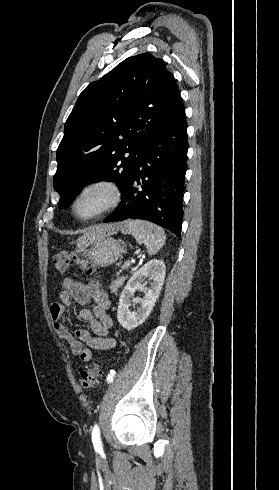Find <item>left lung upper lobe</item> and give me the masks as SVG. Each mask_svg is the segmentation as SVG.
Returning <instances> with one entry per match:
<instances>
[{"mask_svg": "<svg viewBox=\"0 0 279 490\" xmlns=\"http://www.w3.org/2000/svg\"><path fill=\"white\" fill-rule=\"evenodd\" d=\"M174 76L150 53L129 57L80 94L57 150L59 209L102 179L123 193L154 128L181 102Z\"/></svg>", "mask_w": 279, "mask_h": 490, "instance_id": "1", "label": "left lung upper lobe"}]
</instances>
